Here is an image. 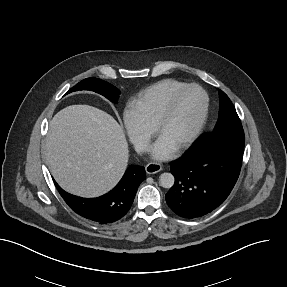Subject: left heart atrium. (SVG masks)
<instances>
[{"label": "left heart atrium", "mask_w": 287, "mask_h": 287, "mask_svg": "<svg viewBox=\"0 0 287 287\" xmlns=\"http://www.w3.org/2000/svg\"><path fill=\"white\" fill-rule=\"evenodd\" d=\"M173 148L158 140L152 148V155L157 159H165L171 155Z\"/></svg>", "instance_id": "left-heart-atrium-1"}]
</instances>
